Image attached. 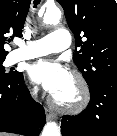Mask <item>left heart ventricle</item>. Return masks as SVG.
Listing matches in <instances>:
<instances>
[{
    "label": "left heart ventricle",
    "mask_w": 117,
    "mask_h": 136,
    "mask_svg": "<svg viewBox=\"0 0 117 136\" xmlns=\"http://www.w3.org/2000/svg\"><path fill=\"white\" fill-rule=\"evenodd\" d=\"M73 95H74V88H73V81L71 79L69 85L56 96L63 100H70L72 99Z\"/></svg>",
    "instance_id": "b2bd125f"
}]
</instances>
